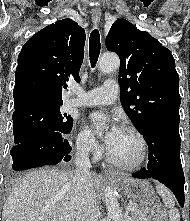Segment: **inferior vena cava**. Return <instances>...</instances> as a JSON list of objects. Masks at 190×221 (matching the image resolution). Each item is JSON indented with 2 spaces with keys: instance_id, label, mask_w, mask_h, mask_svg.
Listing matches in <instances>:
<instances>
[{
  "instance_id": "1",
  "label": "inferior vena cava",
  "mask_w": 190,
  "mask_h": 221,
  "mask_svg": "<svg viewBox=\"0 0 190 221\" xmlns=\"http://www.w3.org/2000/svg\"><path fill=\"white\" fill-rule=\"evenodd\" d=\"M89 147L84 141L77 143L75 165L77 167L73 178V188L76 194V221H97L99 208L96 193L90 174Z\"/></svg>"
}]
</instances>
